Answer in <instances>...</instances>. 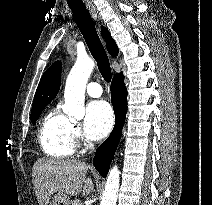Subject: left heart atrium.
<instances>
[{"label":"left heart atrium","mask_w":212,"mask_h":205,"mask_svg":"<svg viewBox=\"0 0 212 205\" xmlns=\"http://www.w3.org/2000/svg\"><path fill=\"white\" fill-rule=\"evenodd\" d=\"M114 122L110 105L103 100L92 101L87 105L84 119V132L91 140L104 138Z\"/></svg>","instance_id":"1"}]
</instances>
